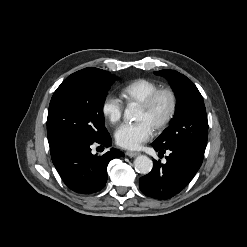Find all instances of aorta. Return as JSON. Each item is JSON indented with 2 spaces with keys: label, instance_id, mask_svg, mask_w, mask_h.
<instances>
[{
  "label": "aorta",
  "instance_id": "762f6f07",
  "mask_svg": "<svg viewBox=\"0 0 247 247\" xmlns=\"http://www.w3.org/2000/svg\"><path fill=\"white\" fill-rule=\"evenodd\" d=\"M124 119L128 121L135 120L136 119V109L131 106L127 107L124 112ZM134 167L138 173L148 174L152 170L153 162L149 157L145 155H140L135 158Z\"/></svg>",
  "mask_w": 247,
  "mask_h": 247
}]
</instances>
